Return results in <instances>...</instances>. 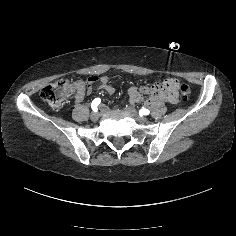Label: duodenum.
<instances>
[{
  "mask_svg": "<svg viewBox=\"0 0 236 236\" xmlns=\"http://www.w3.org/2000/svg\"><path fill=\"white\" fill-rule=\"evenodd\" d=\"M158 100H165L172 103L175 101L173 85L171 83H163L160 87L155 89L152 95L146 100V104L150 105Z\"/></svg>",
  "mask_w": 236,
  "mask_h": 236,
  "instance_id": "1",
  "label": "duodenum"
}]
</instances>
